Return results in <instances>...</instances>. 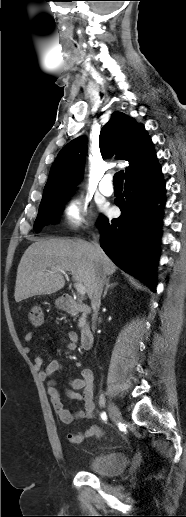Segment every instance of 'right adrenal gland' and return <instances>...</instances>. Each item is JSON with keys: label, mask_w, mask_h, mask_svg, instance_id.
<instances>
[{"label": "right adrenal gland", "mask_w": 186, "mask_h": 517, "mask_svg": "<svg viewBox=\"0 0 186 517\" xmlns=\"http://www.w3.org/2000/svg\"><path fill=\"white\" fill-rule=\"evenodd\" d=\"M117 285H118L117 282L110 283V277H108L107 281H106V287H105V290H104V293H103V298H105V296L107 295V292H108L109 289L114 288Z\"/></svg>", "instance_id": "2a0ac1e0"}]
</instances>
